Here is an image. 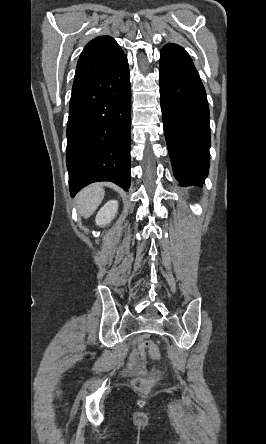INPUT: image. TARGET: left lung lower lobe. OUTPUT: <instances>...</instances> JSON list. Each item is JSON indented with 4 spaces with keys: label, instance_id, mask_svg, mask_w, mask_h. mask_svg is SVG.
I'll use <instances>...</instances> for the list:
<instances>
[{
    "label": "left lung lower lobe",
    "instance_id": "left-lung-lower-lobe-1",
    "mask_svg": "<svg viewBox=\"0 0 266 444\" xmlns=\"http://www.w3.org/2000/svg\"><path fill=\"white\" fill-rule=\"evenodd\" d=\"M160 101L174 176L181 185L202 186L209 168L210 115L192 60L161 52Z\"/></svg>",
    "mask_w": 266,
    "mask_h": 444
}]
</instances>
